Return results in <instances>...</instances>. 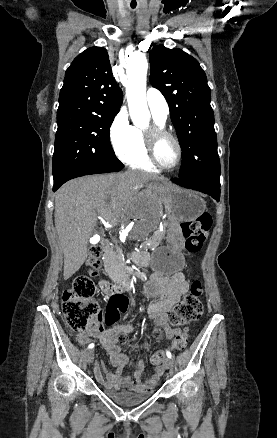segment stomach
I'll return each mask as SVG.
<instances>
[{
    "instance_id": "obj_1",
    "label": "stomach",
    "mask_w": 277,
    "mask_h": 438,
    "mask_svg": "<svg viewBox=\"0 0 277 438\" xmlns=\"http://www.w3.org/2000/svg\"><path fill=\"white\" fill-rule=\"evenodd\" d=\"M156 191L165 204L168 230L167 245L153 251L151 266L154 271L172 275L182 270L185 264L182 254L185 238L179 229V224L196 220L204 213L206 203L196 192L188 189L161 186Z\"/></svg>"
}]
</instances>
